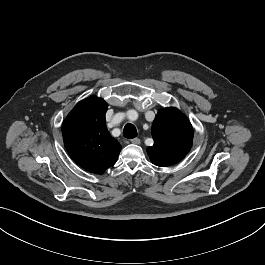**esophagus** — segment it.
<instances>
[{
  "label": "esophagus",
  "instance_id": "34e87169",
  "mask_svg": "<svg viewBox=\"0 0 265 265\" xmlns=\"http://www.w3.org/2000/svg\"><path fill=\"white\" fill-rule=\"evenodd\" d=\"M140 142H141V141H140L139 138H134V139L131 140V143H133V144H137V145L140 144Z\"/></svg>",
  "mask_w": 265,
  "mask_h": 265
}]
</instances>
